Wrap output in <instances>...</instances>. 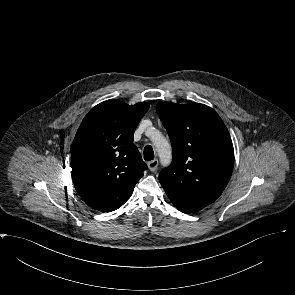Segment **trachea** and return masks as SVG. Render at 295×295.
I'll list each match as a JSON object with an SVG mask.
<instances>
[{"label": "trachea", "instance_id": "trachea-1", "mask_svg": "<svg viewBox=\"0 0 295 295\" xmlns=\"http://www.w3.org/2000/svg\"><path fill=\"white\" fill-rule=\"evenodd\" d=\"M154 159V151L150 145H147L144 148V160L150 161Z\"/></svg>", "mask_w": 295, "mask_h": 295}]
</instances>
